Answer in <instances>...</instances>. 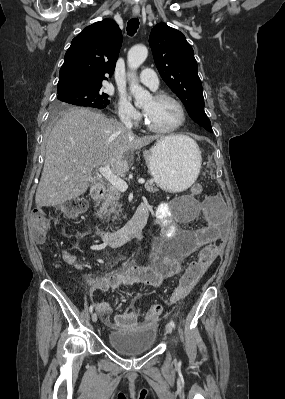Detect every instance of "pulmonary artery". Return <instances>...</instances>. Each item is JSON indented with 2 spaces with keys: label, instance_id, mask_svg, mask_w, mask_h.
<instances>
[{
  "label": "pulmonary artery",
  "instance_id": "1",
  "mask_svg": "<svg viewBox=\"0 0 285 399\" xmlns=\"http://www.w3.org/2000/svg\"><path fill=\"white\" fill-rule=\"evenodd\" d=\"M140 81L150 87L151 89H157L159 86V80L156 74L151 69H144L140 73Z\"/></svg>",
  "mask_w": 285,
  "mask_h": 399
}]
</instances>
